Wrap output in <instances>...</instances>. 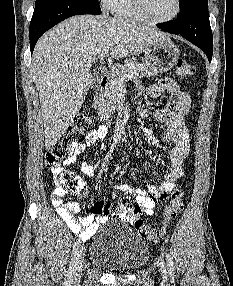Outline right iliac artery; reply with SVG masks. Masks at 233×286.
<instances>
[{
  "mask_svg": "<svg viewBox=\"0 0 233 286\" xmlns=\"http://www.w3.org/2000/svg\"><path fill=\"white\" fill-rule=\"evenodd\" d=\"M79 244H80V242L78 240L73 245L72 259H71L70 267H69V270H68V273H67V278L65 280V286H69V284H70V282L72 280V271H73V266H74L76 255L79 252Z\"/></svg>",
  "mask_w": 233,
  "mask_h": 286,
  "instance_id": "right-iliac-artery-1",
  "label": "right iliac artery"
}]
</instances>
